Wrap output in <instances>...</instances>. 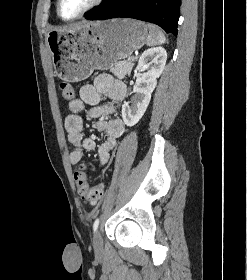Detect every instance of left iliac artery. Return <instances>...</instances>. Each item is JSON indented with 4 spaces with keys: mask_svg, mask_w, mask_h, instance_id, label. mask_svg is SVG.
Returning a JSON list of instances; mask_svg holds the SVG:
<instances>
[{
    "mask_svg": "<svg viewBox=\"0 0 247 280\" xmlns=\"http://www.w3.org/2000/svg\"><path fill=\"white\" fill-rule=\"evenodd\" d=\"M98 225H99V218H97V219L94 221V224H93V230H94V232L97 230Z\"/></svg>",
    "mask_w": 247,
    "mask_h": 280,
    "instance_id": "obj_1",
    "label": "left iliac artery"
}]
</instances>
